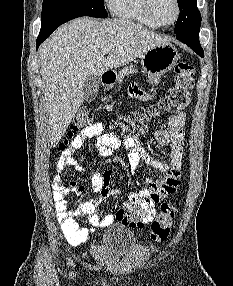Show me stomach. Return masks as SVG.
<instances>
[{
	"label": "stomach",
	"mask_w": 233,
	"mask_h": 286,
	"mask_svg": "<svg viewBox=\"0 0 233 286\" xmlns=\"http://www.w3.org/2000/svg\"><path fill=\"white\" fill-rule=\"evenodd\" d=\"M179 58L178 50L171 43L158 45L142 56V72L151 84H157L160 77L169 72Z\"/></svg>",
	"instance_id": "obj_1"
}]
</instances>
